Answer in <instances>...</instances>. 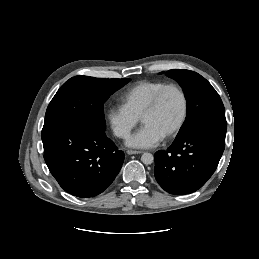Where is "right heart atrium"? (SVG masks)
I'll return each mask as SVG.
<instances>
[{
    "label": "right heart atrium",
    "mask_w": 259,
    "mask_h": 259,
    "mask_svg": "<svg viewBox=\"0 0 259 259\" xmlns=\"http://www.w3.org/2000/svg\"><path fill=\"white\" fill-rule=\"evenodd\" d=\"M107 120L114 135L120 139H127L139 122V118L123 105L110 107L107 111Z\"/></svg>",
    "instance_id": "1"
}]
</instances>
